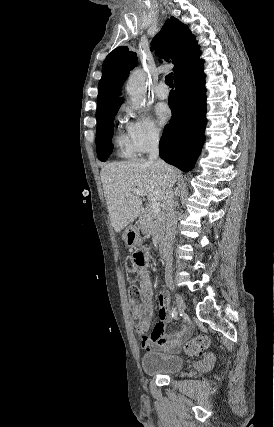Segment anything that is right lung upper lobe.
Listing matches in <instances>:
<instances>
[{"mask_svg":"<svg viewBox=\"0 0 274 427\" xmlns=\"http://www.w3.org/2000/svg\"><path fill=\"white\" fill-rule=\"evenodd\" d=\"M151 50H155L160 58L174 64L175 79L190 68L203 63L199 59L200 46L188 26L178 19H168L161 31L151 42ZM165 51V54L161 52ZM138 64L136 53L130 52L127 46L114 49L106 57L102 67V78L98 84L97 113L121 101L119 91L129 71Z\"/></svg>","mask_w":274,"mask_h":427,"instance_id":"1","label":"right lung upper lobe"}]
</instances>
